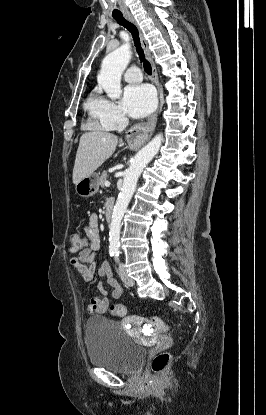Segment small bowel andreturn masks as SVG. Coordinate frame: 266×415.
<instances>
[{"label": "small bowel", "mask_w": 266, "mask_h": 415, "mask_svg": "<svg viewBox=\"0 0 266 415\" xmlns=\"http://www.w3.org/2000/svg\"><path fill=\"white\" fill-rule=\"evenodd\" d=\"M86 232L89 240L88 246L78 256L71 259V265L85 282H91L96 271V253L100 249L98 216L96 213L90 215ZM97 273L100 277L106 278L107 284L111 287V296L119 298L123 289L113 278L109 263L103 262L97 269ZM98 290L101 296L93 298L87 307L90 314L104 313L109 306L108 292L102 283L98 284Z\"/></svg>", "instance_id": "c3829d8e"}]
</instances>
